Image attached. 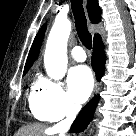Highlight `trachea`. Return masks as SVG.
<instances>
[{"mask_svg":"<svg viewBox=\"0 0 136 136\" xmlns=\"http://www.w3.org/2000/svg\"><path fill=\"white\" fill-rule=\"evenodd\" d=\"M71 7L75 19V27L82 44L92 48V37L87 28V20L83 9V0H71Z\"/></svg>","mask_w":136,"mask_h":136,"instance_id":"3493384b","label":"trachea"}]
</instances>
